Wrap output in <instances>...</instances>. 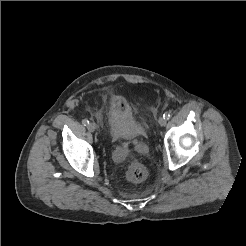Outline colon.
<instances>
[{"mask_svg": "<svg viewBox=\"0 0 246 246\" xmlns=\"http://www.w3.org/2000/svg\"><path fill=\"white\" fill-rule=\"evenodd\" d=\"M126 177L131 182H142L147 177V169L142 163L134 161L129 166Z\"/></svg>", "mask_w": 246, "mask_h": 246, "instance_id": "1", "label": "colon"}]
</instances>
